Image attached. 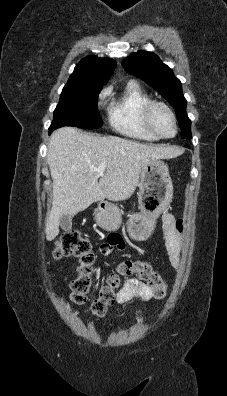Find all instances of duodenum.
Masks as SVG:
<instances>
[{"label":"duodenum","mask_w":227,"mask_h":396,"mask_svg":"<svg viewBox=\"0 0 227 396\" xmlns=\"http://www.w3.org/2000/svg\"><path fill=\"white\" fill-rule=\"evenodd\" d=\"M99 205L103 208L105 204L103 202H100Z\"/></svg>","instance_id":"410a0bca"}]
</instances>
